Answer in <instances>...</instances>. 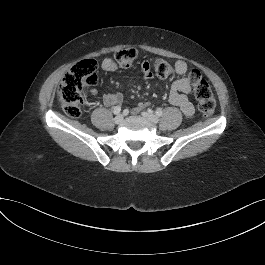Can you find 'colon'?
Here are the masks:
<instances>
[{
	"label": "colon",
	"mask_w": 265,
	"mask_h": 265,
	"mask_svg": "<svg viewBox=\"0 0 265 265\" xmlns=\"http://www.w3.org/2000/svg\"><path fill=\"white\" fill-rule=\"evenodd\" d=\"M137 57V51L133 48H125L117 51L112 61L120 67H130ZM156 75L160 78H169L174 74V68L166 60L157 58L153 62ZM97 63L93 59H85L76 63L64 75L58 91V100L64 112L73 118L80 116L83 105L82 91L86 86L97 82ZM193 87L199 111L204 117H210L215 110L216 101L209 83L202 77L197 69H193L188 77Z\"/></svg>",
	"instance_id": "5ec220e1"
}]
</instances>
